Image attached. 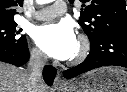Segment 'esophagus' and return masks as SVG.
<instances>
[{
  "mask_svg": "<svg viewBox=\"0 0 127 92\" xmlns=\"http://www.w3.org/2000/svg\"><path fill=\"white\" fill-rule=\"evenodd\" d=\"M67 83L61 78L60 74H57L55 80H54V87L55 88H62L66 87Z\"/></svg>",
  "mask_w": 127,
  "mask_h": 92,
  "instance_id": "obj_1",
  "label": "esophagus"
}]
</instances>
